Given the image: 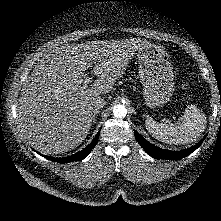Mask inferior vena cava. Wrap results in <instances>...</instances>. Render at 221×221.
<instances>
[{
  "label": "inferior vena cava",
  "mask_w": 221,
  "mask_h": 221,
  "mask_svg": "<svg viewBox=\"0 0 221 221\" xmlns=\"http://www.w3.org/2000/svg\"><path fill=\"white\" fill-rule=\"evenodd\" d=\"M105 105H106V102L104 101V99H102V98H96V99L92 102L91 109H92L93 111L99 110V109L103 108Z\"/></svg>",
  "instance_id": "602c4592"
}]
</instances>
